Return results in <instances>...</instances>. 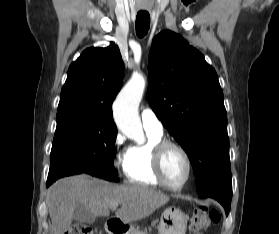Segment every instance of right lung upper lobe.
<instances>
[{"mask_svg":"<svg viewBox=\"0 0 279 234\" xmlns=\"http://www.w3.org/2000/svg\"><path fill=\"white\" fill-rule=\"evenodd\" d=\"M118 46L88 48L73 62L62 88L57 115L83 114L115 126L111 106L123 84Z\"/></svg>","mask_w":279,"mask_h":234,"instance_id":"cb5924a9","label":"right lung upper lobe"}]
</instances>
